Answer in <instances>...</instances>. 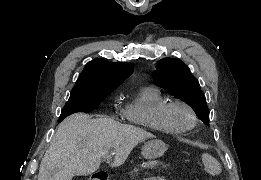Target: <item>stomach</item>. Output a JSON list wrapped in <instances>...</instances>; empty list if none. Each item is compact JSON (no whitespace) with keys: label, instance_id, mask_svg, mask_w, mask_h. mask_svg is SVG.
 <instances>
[{"label":"stomach","instance_id":"1","mask_svg":"<svg viewBox=\"0 0 261 180\" xmlns=\"http://www.w3.org/2000/svg\"><path fill=\"white\" fill-rule=\"evenodd\" d=\"M167 150L166 144L162 140L153 139L144 143L141 154L145 159H156L161 157Z\"/></svg>","mask_w":261,"mask_h":180}]
</instances>
